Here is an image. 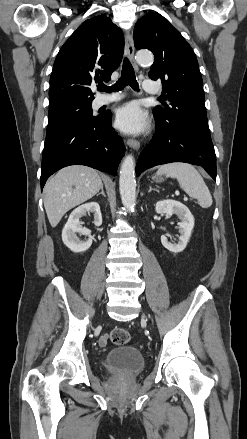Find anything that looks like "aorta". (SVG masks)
<instances>
[{"instance_id":"obj_1","label":"aorta","mask_w":247,"mask_h":439,"mask_svg":"<svg viewBox=\"0 0 247 439\" xmlns=\"http://www.w3.org/2000/svg\"><path fill=\"white\" fill-rule=\"evenodd\" d=\"M136 61L139 64H150L153 62V55L149 52H138ZM120 196L123 205L127 210L132 211L136 202V180L135 160L132 155H127L120 168L119 177Z\"/></svg>"}]
</instances>
